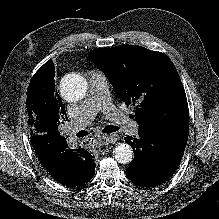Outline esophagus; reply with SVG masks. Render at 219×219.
Masks as SVG:
<instances>
[{
    "label": "esophagus",
    "mask_w": 219,
    "mask_h": 219,
    "mask_svg": "<svg viewBox=\"0 0 219 219\" xmlns=\"http://www.w3.org/2000/svg\"><path fill=\"white\" fill-rule=\"evenodd\" d=\"M101 145H107L116 141L115 135H102L98 138Z\"/></svg>",
    "instance_id": "esophagus-1"
}]
</instances>
